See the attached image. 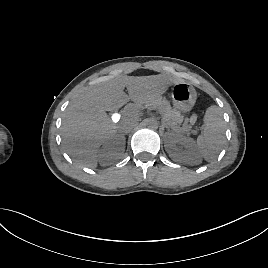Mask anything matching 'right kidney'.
<instances>
[{
  "instance_id": "ca27d5eb",
  "label": "right kidney",
  "mask_w": 268,
  "mask_h": 268,
  "mask_svg": "<svg viewBox=\"0 0 268 268\" xmlns=\"http://www.w3.org/2000/svg\"><path fill=\"white\" fill-rule=\"evenodd\" d=\"M125 151V138L116 135L107 140L98 151L97 157L101 166H108L120 160Z\"/></svg>"
}]
</instances>
